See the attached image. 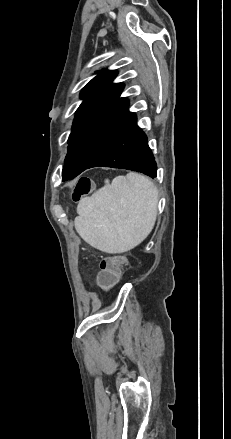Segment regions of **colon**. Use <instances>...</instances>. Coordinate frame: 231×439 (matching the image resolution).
Returning a JSON list of instances; mask_svg holds the SVG:
<instances>
[{"mask_svg":"<svg viewBox=\"0 0 231 439\" xmlns=\"http://www.w3.org/2000/svg\"><path fill=\"white\" fill-rule=\"evenodd\" d=\"M92 189V182L88 177H81L72 192V199L78 202L87 196ZM127 264V259L123 255H110L104 257L99 263L100 273H97L96 279L100 283L99 288L105 294H110L112 288L120 284V273L122 268Z\"/></svg>","mask_w":231,"mask_h":439,"instance_id":"5ec220e1","label":"colon"}]
</instances>
